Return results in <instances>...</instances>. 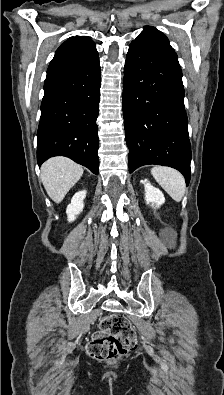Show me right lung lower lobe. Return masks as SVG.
Returning <instances> with one entry per match:
<instances>
[{
    "label": "right lung lower lobe",
    "instance_id": "98d812e1",
    "mask_svg": "<svg viewBox=\"0 0 224 395\" xmlns=\"http://www.w3.org/2000/svg\"><path fill=\"white\" fill-rule=\"evenodd\" d=\"M100 64L96 50L81 48L74 37L52 59L44 83L37 132V162L66 156L98 175Z\"/></svg>",
    "mask_w": 224,
    "mask_h": 395
}]
</instances>
